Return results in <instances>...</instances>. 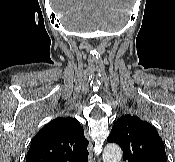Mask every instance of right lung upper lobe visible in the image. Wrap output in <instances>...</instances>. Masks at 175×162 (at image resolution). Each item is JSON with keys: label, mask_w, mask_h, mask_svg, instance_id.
Wrapping results in <instances>:
<instances>
[{"label": "right lung upper lobe", "mask_w": 175, "mask_h": 162, "mask_svg": "<svg viewBox=\"0 0 175 162\" xmlns=\"http://www.w3.org/2000/svg\"><path fill=\"white\" fill-rule=\"evenodd\" d=\"M88 144L77 119L58 117L35 135L26 162H87Z\"/></svg>", "instance_id": "cb5924a9"}]
</instances>
